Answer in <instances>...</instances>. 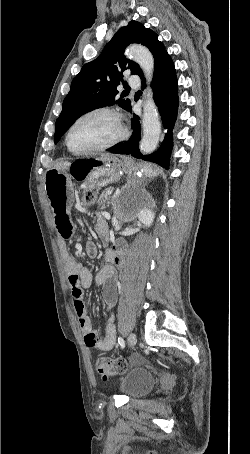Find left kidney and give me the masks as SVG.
<instances>
[{
    "mask_svg": "<svg viewBox=\"0 0 250 454\" xmlns=\"http://www.w3.org/2000/svg\"><path fill=\"white\" fill-rule=\"evenodd\" d=\"M154 217L155 213L148 208L143 209L138 216L139 221L148 227L152 225Z\"/></svg>",
    "mask_w": 250,
    "mask_h": 454,
    "instance_id": "1",
    "label": "left kidney"
}]
</instances>
